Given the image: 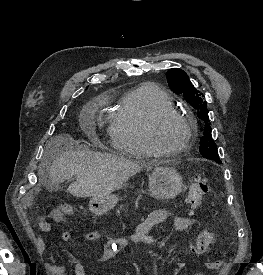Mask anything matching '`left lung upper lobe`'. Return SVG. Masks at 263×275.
<instances>
[{
  "mask_svg": "<svg viewBox=\"0 0 263 275\" xmlns=\"http://www.w3.org/2000/svg\"><path fill=\"white\" fill-rule=\"evenodd\" d=\"M166 77L171 90L176 94L183 95L187 103L198 112V117L205 123L203 136L200 139V153L203 157L221 163L216 144L211 135L207 102L201 97L203 96L202 93L191 84L188 75L179 68L168 70Z\"/></svg>",
  "mask_w": 263,
  "mask_h": 275,
  "instance_id": "5c2ea615",
  "label": "left lung upper lobe"
}]
</instances>
